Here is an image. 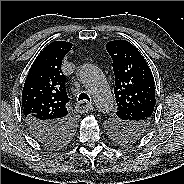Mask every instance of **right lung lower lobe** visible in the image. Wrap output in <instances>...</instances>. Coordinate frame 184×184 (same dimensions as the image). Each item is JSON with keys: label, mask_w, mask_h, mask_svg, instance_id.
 Masks as SVG:
<instances>
[{"label": "right lung lower lobe", "mask_w": 184, "mask_h": 184, "mask_svg": "<svg viewBox=\"0 0 184 184\" xmlns=\"http://www.w3.org/2000/svg\"><path fill=\"white\" fill-rule=\"evenodd\" d=\"M32 136L44 145L52 146L63 140L65 135L74 128V120L66 118L60 122H49L35 117L25 118Z\"/></svg>", "instance_id": "obj_1"}]
</instances>
